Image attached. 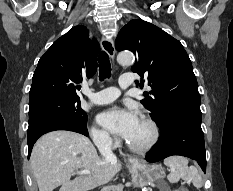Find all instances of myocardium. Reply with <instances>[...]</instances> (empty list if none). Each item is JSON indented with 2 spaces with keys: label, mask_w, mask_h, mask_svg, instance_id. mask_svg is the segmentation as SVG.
Wrapping results in <instances>:
<instances>
[{
  "label": "myocardium",
  "mask_w": 233,
  "mask_h": 191,
  "mask_svg": "<svg viewBox=\"0 0 233 191\" xmlns=\"http://www.w3.org/2000/svg\"><path fill=\"white\" fill-rule=\"evenodd\" d=\"M141 120H144L145 122H147L150 125V127L152 129V137L147 144L142 145V146L132 144L127 140L126 144H127L128 148L136 153L148 152L156 145V143L158 142L159 137H160L159 126H158L157 122L152 117L142 116Z\"/></svg>",
  "instance_id": "myocardium-1"
}]
</instances>
